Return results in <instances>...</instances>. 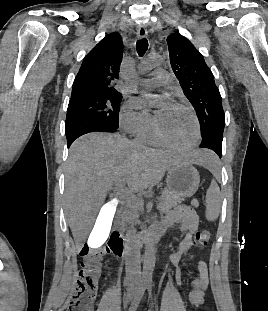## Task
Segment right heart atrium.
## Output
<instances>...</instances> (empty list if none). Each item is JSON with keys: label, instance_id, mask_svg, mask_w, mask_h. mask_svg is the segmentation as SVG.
<instances>
[{"label": "right heart atrium", "instance_id": "1", "mask_svg": "<svg viewBox=\"0 0 268 311\" xmlns=\"http://www.w3.org/2000/svg\"><path fill=\"white\" fill-rule=\"evenodd\" d=\"M123 132L138 136L152 127V118L148 111L141 109L134 101L126 102L119 116Z\"/></svg>", "mask_w": 268, "mask_h": 311}]
</instances>
